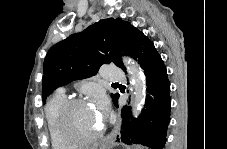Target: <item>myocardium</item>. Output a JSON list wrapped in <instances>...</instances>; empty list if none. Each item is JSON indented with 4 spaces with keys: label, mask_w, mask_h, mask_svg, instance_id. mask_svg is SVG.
<instances>
[{
    "label": "myocardium",
    "mask_w": 227,
    "mask_h": 149,
    "mask_svg": "<svg viewBox=\"0 0 227 149\" xmlns=\"http://www.w3.org/2000/svg\"><path fill=\"white\" fill-rule=\"evenodd\" d=\"M83 103H86V99L84 98L68 99L61 106L57 114V128H58L59 134L61 138L67 143H69L71 146L92 145L102 136L105 129L104 125H102L100 130L96 134L86 138L76 137L75 135L71 134L68 131V118H69L70 112L74 107Z\"/></svg>",
    "instance_id": "obj_1"
}]
</instances>
